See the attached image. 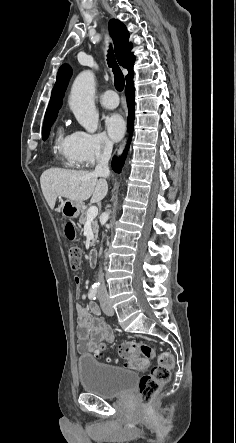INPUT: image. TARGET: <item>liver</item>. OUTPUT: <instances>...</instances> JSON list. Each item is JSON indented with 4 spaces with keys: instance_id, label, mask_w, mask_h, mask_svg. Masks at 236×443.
I'll use <instances>...</instances> for the list:
<instances>
[{
    "instance_id": "liver-1",
    "label": "liver",
    "mask_w": 236,
    "mask_h": 443,
    "mask_svg": "<svg viewBox=\"0 0 236 443\" xmlns=\"http://www.w3.org/2000/svg\"><path fill=\"white\" fill-rule=\"evenodd\" d=\"M43 195L53 210L56 199L62 196L69 200L82 203L91 197V202H100L108 192L105 179H98L94 172L83 170H66L50 168L40 177Z\"/></svg>"
}]
</instances>
